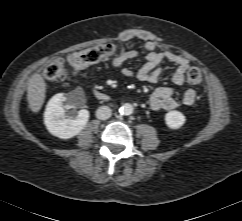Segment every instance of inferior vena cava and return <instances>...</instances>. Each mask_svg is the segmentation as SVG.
<instances>
[{
    "label": "inferior vena cava",
    "instance_id": "obj_1",
    "mask_svg": "<svg viewBox=\"0 0 242 221\" xmlns=\"http://www.w3.org/2000/svg\"><path fill=\"white\" fill-rule=\"evenodd\" d=\"M112 115V110L108 106H101L96 111V117L100 120H106Z\"/></svg>",
    "mask_w": 242,
    "mask_h": 221
}]
</instances>
